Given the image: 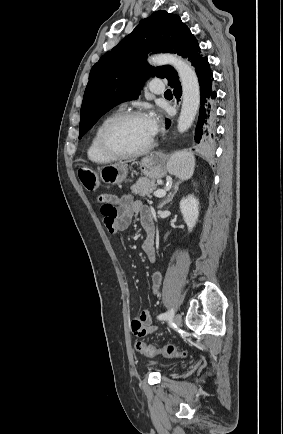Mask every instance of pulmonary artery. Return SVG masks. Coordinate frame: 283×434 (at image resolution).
Segmentation results:
<instances>
[{"mask_svg": "<svg viewBox=\"0 0 283 434\" xmlns=\"http://www.w3.org/2000/svg\"><path fill=\"white\" fill-rule=\"evenodd\" d=\"M150 91L153 94H162L164 92V84L159 80H154L150 83Z\"/></svg>", "mask_w": 283, "mask_h": 434, "instance_id": "1", "label": "pulmonary artery"}]
</instances>
